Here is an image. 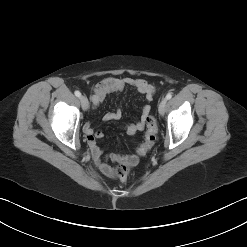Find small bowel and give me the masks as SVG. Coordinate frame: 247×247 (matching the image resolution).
I'll return each instance as SVG.
<instances>
[{
    "label": "small bowel",
    "mask_w": 247,
    "mask_h": 247,
    "mask_svg": "<svg viewBox=\"0 0 247 247\" xmlns=\"http://www.w3.org/2000/svg\"><path fill=\"white\" fill-rule=\"evenodd\" d=\"M131 87L137 92L142 94L147 101H151L156 92L155 87L148 83L146 80L141 78H117V77H108L101 80L93 88V92L90 96L93 108L99 106L103 102L105 97L110 93H121L126 88ZM150 113V106L145 105L141 109L140 118L134 122L130 123L125 127V130L128 134H134L138 131H142L145 127V121L147 116ZM122 117V112L120 109H117L112 112H108L104 115L105 121H114L119 120ZM83 132L87 137V141L90 147L91 155L93 160L98 167V169L105 174L106 176L113 177L114 172L108 161L113 162H127L129 165H135L138 163V156L135 154H124V153H111L109 155H104L102 149L98 146L96 140L103 138L104 134L102 131H96L91 126L89 122L85 123L83 126Z\"/></svg>",
    "instance_id": "obj_1"
}]
</instances>
